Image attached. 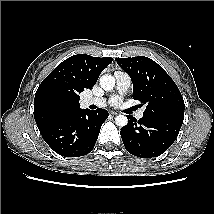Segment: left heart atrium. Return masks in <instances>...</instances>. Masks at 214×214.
Here are the masks:
<instances>
[{
  "label": "left heart atrium",
  "mask_w": 214,
  "mask_h": 214,
  "mask_svg": "<svg viewBox=\"0 0 214 214\" xmlns=\"http://www.w3.org/2000/svg\"><path fill=\"white\" fill-rule=\"evenodd\" d=\"M118 102H119V99H118V98H114V99H113V103H114V104H117Z\"/></svg>",
  "instance_id": "left-heart-atrium-1"
}]
</instances>
